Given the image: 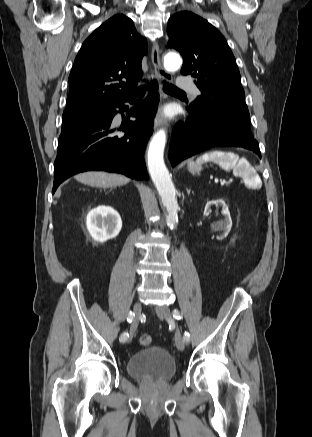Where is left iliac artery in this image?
Here are the masks:
<instances>
[{"label":"left iliac artery","mask_w":312,"mask_h":437,"mask_svg":"<svg viewBox=\"0 0 312 437\" xmlns=\"http://www.w3.org/2000/svg\"><path fill=\"white\" fill-rule=\"evenodd\" d=\"M173 317L175 318V319H178V320H180L181 318H182V315H181V313L179 312V310L178 309H174L173 310ZM184 340H186V341H189V339H190V334H189V332H186L185 331V333H184Z\"/></svg>","instance_id":"1"}]
</instances>
